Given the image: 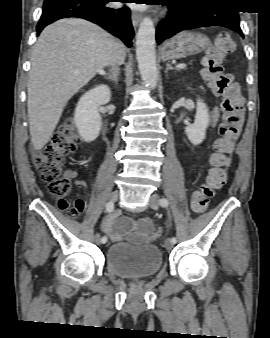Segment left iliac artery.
<instances>
[{"instance_id":"44dca946","label":"left iliac artery","mask_w":270,"mask_h":338,"mask_svg":"<svg viewBox=\"0 0 270 338\" xmlns=\"http://www.w3.org/2000/svg\"><path fill=\"white\" fill-rule=\"evenodd\" d=\"M159 203H160V205H161L162 207H168V205H169V202H168V200H167L166 198H161V199L159 200ZM171 242H172L173 244H175V243L177 242L176 237H172V238H171Z\"/></svg>"}]
</instances>
